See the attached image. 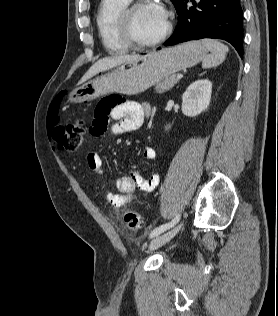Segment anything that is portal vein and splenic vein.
<instances>
[{"instance_id":"obj_1","label":"portal vein and splenic vein","mask_w":278,"mask_h":316,"mask_svg":"<svg viewBox=\"0 0 278 316\" xmlns=\"http://www.w3.org/2000/svg\"><path fill=\"white\" fill-rule=\"evenodd\" d=\"M177 78H178V79H182V78H183V75H182V74H178V75H177Z\"/></svg>"}]
</instances>
